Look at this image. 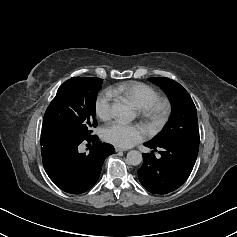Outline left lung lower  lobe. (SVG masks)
<instances>
[{
	"label": "left lung lower lobe",
	"instance_id": "0a47b994",
	"mask_svg": "<svg viewBox=\"0 0 237 237\" xmlns=\"http://www.w3.org/2000/svg\"><path fill=\"white\" fill-rule=\"evenodd\" d=\"M145 146L154 149L143 154V165L138 170L140 183L151 193L166 194L179 188L190 175L198 154L199 145L169 144ZM160 148V158L154 156Z\"/></svg>",
	"mask_w": 237,
	"mask_h": 237
}]
</instances>
